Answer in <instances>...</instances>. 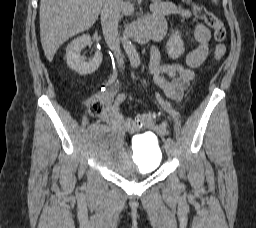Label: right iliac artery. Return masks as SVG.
Masks as SVG:
<instances>
[{
    "label": "right iliac artery",
    "instance_id": "1",
    "mask_svg": "<svg viewBox=\"0 0 256 228\" xmlns=\"http://www.w3.org/2000/svg\"><path fill=\"white\" fill-rule=\"evenodd\" d=\"M89 129H90V130H96V129H97V124L92 123V124L89 126Z\"/></svg>",
    "mask_w": 256,
    "mask_h": 228
}]
</instances>
